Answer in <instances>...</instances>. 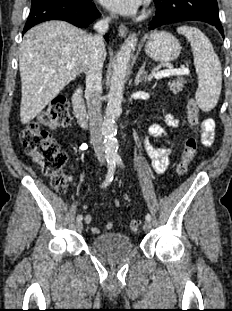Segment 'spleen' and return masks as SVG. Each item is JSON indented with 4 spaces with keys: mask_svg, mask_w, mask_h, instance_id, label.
<instances>
[{
    "mask_svg": "<svg viewBox=\"0 0 232 311\" xmlns=\"http://www.w3.org/2000/svg\"><path fill=\"white\" fill-rule=\"evenodd\" d=\"M190 42L196 73L199 77L195 98L203 111L212 110L219 99L222 85L221 63L208 37L196 27L177 28Z\"/></svg>",
    "mask_w": 232,
    "mask_h": 311,
    "instance_id": "obj_1",
    "label": "spleen"
}]
</instances>
